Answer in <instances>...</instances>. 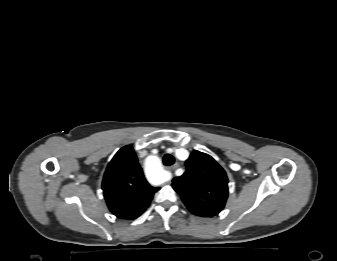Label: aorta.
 <instances>
[{
	"instance_id": "aorta-1",
	"label": "aorta",
	"mask_w": 337,
	"mask_h": 261,
	"mask_svg": "<svg viewBox=\"0 0 337 261\" xmlns=\"http://www.w3.org/2000/svg\"><path fill=\"white\" fill-rule=\"evenodd\" d=\"M152 160V165H151V169L152 170H156L157 172H159L160 174L164 175L166 174V172L160 167V163H159V159L157 157H151Z\"/></svg>"
}]
</instances>
